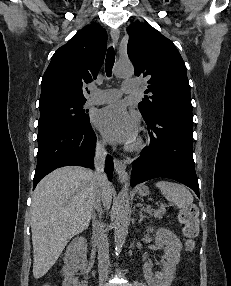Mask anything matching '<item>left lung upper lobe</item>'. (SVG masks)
Segmentation results:
<instances>
[{"instance_id":"left-lung-upper-lobe-1","label":"left lung upper lobe","mask_w":231,"mask_h":286,"mask_svg":"<svg viewBox=\"0 0 231 286\" xmlns=\"http://www.w3.org/2000/svg\"><path fill=\"white\" fill-rule=\"evenodd\" d=\"M127 31V52L135 75L146 78V92L153 93L138 104L143 118H150L158 107L192 111L186 66L173 42L148 23L137 21Z\"/></svg>"}]
</instances>
